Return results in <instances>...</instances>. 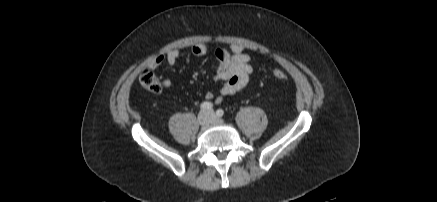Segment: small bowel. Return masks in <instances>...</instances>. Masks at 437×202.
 Instances as JSON below:
<instances>
[{
	"label": "small bowel",
	"mask_w": 437,
	"mask_h": 202,
	"mask_svg": "<svg viewBox=\"0 0 437 202\" xmlns=\"http://www.w3.org/2000/svg\"><path fill=\"white\" fill-rule=\"evenodd\" d=\"M207 47L203 43L194 45L191 48L192 55L201 57L205 55ZM180 57L178 49H171L165 55L156 57L151 63L152 68L159 67L167 63L169 66L176 64ZM215 57L218 63L214 80L223 82L219 89V95L215 102L221 103L223 98L233 95L246 87L253 73L251 57L245 53V47L241 44H231L228 48H218L215 50ZM165 87L172 85L171 80L166 79L163 82ZM206 99L212 100L214 94L211 91L206 92Z\"/></svg>",
	"instance_id": "small-bowel-1"
}]
</instances>
